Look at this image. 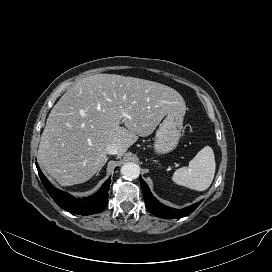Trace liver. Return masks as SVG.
I'll return each instance as SVG.
<instances>
[{
  "label": "liver",
  "mask_w": 272,
  "mask_h": 272,
  "mask_svg": "<svg viewBox=\"0 0 272 272\" xmlns=\"http://www.w3.org/2000/svg\"><path fill=\"white\" fill-rule=\"evenodd\" d=\"M173 111L184 115L185 101L166 85L116 74L83 78L47 118L38 149L40 166L63 186L84 183L105 162L107 146L117 145L122 157Z\"/></svg>",
  "instance_id": "1"
}]
</instances>
